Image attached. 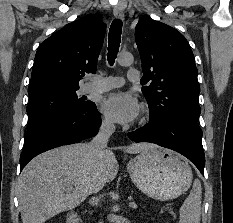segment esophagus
<instances>
[{"label": "esophagus", "instance_id": "1", "mask_svg": "<svg viewBox=\"0 0 233 223\" xmlns=\"http://www.w3.org/2000/svg\"><path fill=\"white\" fill-rule=\"evenodd\" d=\"M113 14H114L115 18H117L118 20H123L124 12H123V9H122L120 4H118L114 7Z\"/></svg>", "mask_w": 233, "mask_h": 223}]
</instances>
